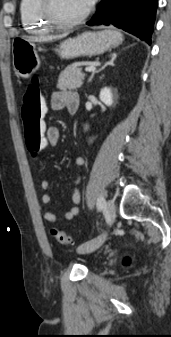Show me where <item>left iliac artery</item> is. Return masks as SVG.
Returning a JSON list of instances; mask_svg holds the SVG:
<instances>
[{
  "instance_id": "obj_1",
  "label": "left iliac artery",
  "mask_w": 171,
  "mask_h": 337,
  "mask_svg": "<svg viewBox=\"0 0 171 337\" xmlns=\"http://www.w3.org/2000/svg\"><path fill=\"white\" fill-rule=\"evenodd\" d=\"M105 206V199L103 197H99L97 200V208L102 210Z\"/></svg>"
}]
</instances>
